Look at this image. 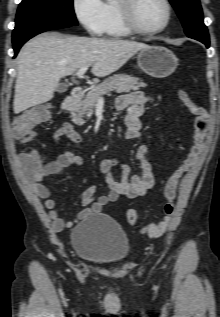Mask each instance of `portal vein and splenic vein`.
Here are the masks:
<instances>
[{
	"mask_svg": "<svg viewBox=\"0 0 220 317\" xmlns=\"http://www.w3.org/2000/svg\"><path fill=\"white\" fill-rule=\"evenodd\" d=\"M88 67H89V65H85V66L81 67L76 73L77 77L78 78H83L84 74L88 70ZM100 99H102V98H100Z\"/></svg>",
	"mask_w": 220,
	"mask_h": 317,
	"instance_id": "portal-vein-and-splenic-vein-1",
	"label": "portal vein and splenic vein"
}]
</instances>
